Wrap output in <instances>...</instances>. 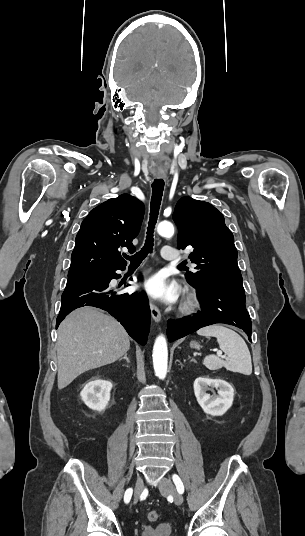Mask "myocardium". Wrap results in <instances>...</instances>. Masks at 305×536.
Wrapping results in <instances>:
<instances>
[{"mask_svg": "<svg viewBox=\"0 0 305 536\" xmlns=\"http://www.w3.org/2000/svg\"><path fill=\"white\" fill-rule=\"evenodd\" d=\"M201 305V297L198 293L194 291H188L185 294L183 303L181 305L182 313L188 314L192 313Z\"/></svg>", "mask_w": 305, "mask_h": 536, "instance_id": "1", "label": "myocardium"}]
</instances>
